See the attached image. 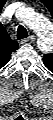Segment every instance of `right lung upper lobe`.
<instances>
[{
    "label": "right lung upper lobe",
    "mask_w": 53,
    "mask_h": 120,
    "mask_svg": "<svg viewBox=\"0 0 53 120\" xmlns=\"http://www.w3.org/2000/svg\"><path fill=\"white\" fill-rule=\"evenodd\" d=\"M18 43L12 40L4 27L1 25L0 30V66L3 67L8 63L11 53L18 49Z\"/></svg>",
    "instance_id": "cb5924a9"
}]
</instances>
